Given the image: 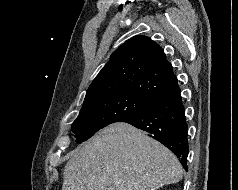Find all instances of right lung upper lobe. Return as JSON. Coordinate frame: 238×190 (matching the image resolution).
Instances as JSON below:
<instances>
[{
  "mask_svg": "<svg viewBox=\"0 0 238 190\" xmlns=\"http://www.w3.org/2000/svg\"><path fill=\"white\" fill-rule=\"evenodd\" d=\"M177 78L162 48L137 35L110 56L89 86L84 102L112 95H133L155 102L173 89Z\"/></svg>",
  "mask_w": 238,
  "mask_h": 190,
  "instance_id": "right-lung-upper-lobe-1",
  "label": "right lung upper lobe"
}]
</instances>
